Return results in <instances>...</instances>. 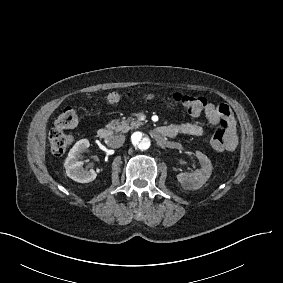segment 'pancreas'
<instances>
[{
    "label": "pancreas",
    "mask_w": 283,
    "mask_h": 283,
    "mask_svg": "<svg viewBox=\"0 0 283 283\" xmlns=\"http://www.w3.org/2000/svg\"><path fill=\"white\" fill-rule=\"evenodd\" d=\"M142 123L138 120L135 119H128V120H122L119 122L118 120H112L109 124L106 125V128L109 131H115V132H123L126 133L130 129L137 128L141 125Z\"/></svg>",
    "instance_id": "obj_1"
}]
</instances>
